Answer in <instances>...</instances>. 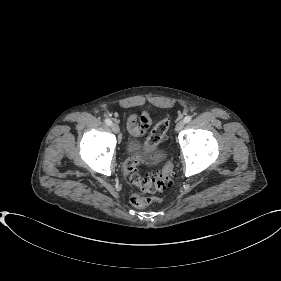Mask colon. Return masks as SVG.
<instances>
[{
    "label": "colon",
    "mask_w": 281,
    "mask_h": 281,
    "mask_svg": "<svg viewBox=\"0 0 281 281\" xmlns=\"http://www.w3.org/2000/svg\"><path fill=\"white\" fill-rule=\"evenodd\" d=\"M170 125V119L166 118L159 122L148 136L145 149L153 151L159 144L166 139V133ZM141 155L127 158L124 162V172L129 182L145 194L162 193L173 183V165L168 162L162 166L155 174L150 177H143L138 172V166L143 163ZM139 192L132 193L130 201L134 207L145 208L158 198L151 197Z\"/></svg>",
    "instance_id": "1"
}]
</instances>
